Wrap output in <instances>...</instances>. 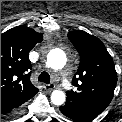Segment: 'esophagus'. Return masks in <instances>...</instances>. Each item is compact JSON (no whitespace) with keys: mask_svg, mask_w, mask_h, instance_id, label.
<instances>
[{"mask_svg":"<svg viewBox=\"0 0 122 122\" xmlns=\"http://www.w3.org/2000/svg\"><path fill=\"white\" fill-rule=\"evenodd\" d=\"M44 88L47 91H51V90H53L55 88V85L52 84V83H50V84H44Z\"/></svg>","mask_w":122,"mask_h":122,"instance_id":"1","label":"esophagus"}]
</instances>
